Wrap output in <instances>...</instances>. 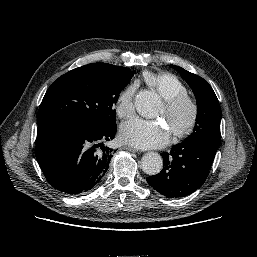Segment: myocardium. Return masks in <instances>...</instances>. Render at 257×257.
<instances>
[{
  "label": "myocardium",
  "instance_id": "obj_1",
  "mask_svg": "<svg viewBox=\"0 0 257 257\" xmlns=\"http://www.w3.org/2000/svg\"><path fill=\"white\" fill-rule=\"evenodd\" d=\"M184 106L189 107V116L185 122L172 131L175 137H183L193 130L199 116V105L187 93L163 100L165 115L175 114Z\"/></svg>",
  "mask_w": 257,
  "mask_h": 257
}]
</instances>
